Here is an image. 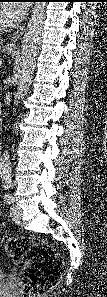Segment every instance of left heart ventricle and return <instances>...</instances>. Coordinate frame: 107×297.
<instances>
[{
	"label": "left heart ventricle",
	"mask_w": 107,
	"mask_h": 297,
	"mask_svg": "<svg viewBox=\"0 0 107 297\" xmlns=\"http://www.w3.org/2000/svg\"><path fill=\"white\" fill-rule=\"evenodd\" d=\"M1 22H8V20H7V18L5 17V15H4V13H3V11H0V23Z\"/></svg>",
	"instance_id": "left-heart-ventricle-1"
}]
</instances>
